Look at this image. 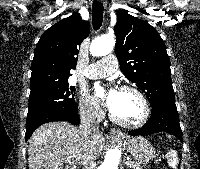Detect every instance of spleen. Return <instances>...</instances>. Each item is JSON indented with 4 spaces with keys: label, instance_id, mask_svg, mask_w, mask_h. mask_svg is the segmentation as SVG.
I'll list each match as a JSON object with an SVG mask.
<instances>
[{
    "label": "spleen",
    "instance_id": "3e777b00",
    "mask_svg": "<svg viewBox=\"0 0 200 169\" xmlns=\"http://www.w3.org/2000/svg\"><path fill=\"white\" fill-rule=\"evenodd\" d=\"M167 160H168V165L173 168L176 169L178 166V155L177 152L175 150H170L167 154H166Z\"/></svg>",
    "mask_w": 200,
    "mask_h": 169
}]
</instances>
